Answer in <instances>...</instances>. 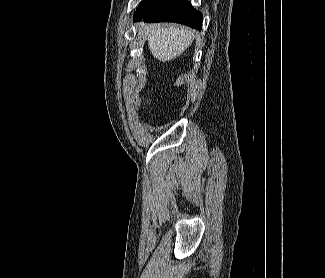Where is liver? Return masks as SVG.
Returning <instances> with one entry per match:
<instances>
[{"label": "liver", "instance_id": "obj_1", "mask_svg": "<svg viewBox=\"0 0 325 278\" xmlns=\"http://www.w3.org/2000/svg\"><path fill=\"white\" fill-rule=\"evenodd\" d=\"M194 32L175 25H154L147 35L149 49L159 61L181 55L193 42Z\"/></svg>", "mask_w": 325, "mask_h": 278}]
</instances>
